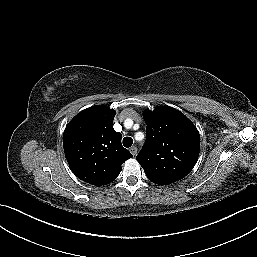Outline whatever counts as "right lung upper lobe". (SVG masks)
<instances>
[{
  "label": "right lung upper lobe",
  "mask_w": 257,
  "mask_h": 257,
  "mask_svg": "<svg viewBox=\"0 0 257 257\" xmlns=\"http://www.w3.org/2000/svg\"><path fill=\"white\" fill-rule=\"evenodd\" d=\"M115 111L105 105L87 108L66 126L63 147L67 162L79 179L102 186L113 182L132 154L113 128Z\"/></svg>",
  "instance_id": "obj_1"
}]
</instances>
